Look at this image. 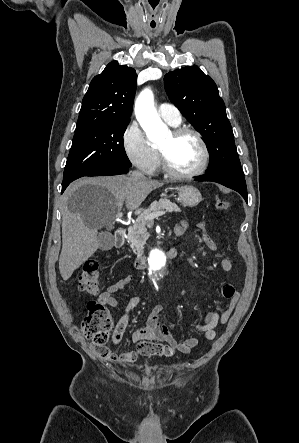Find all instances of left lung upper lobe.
<instances>
[{
  "label": "left lung upper lobe",
  "mask_w": 299,
  "mask_h": 443,
  "mask_svg": "<svg viewBox=\"0 0 299 443\" xmlns=\"http://www.w3.org/2000/svg\"><path fill=\"white\" fill-rule=\"evenodd\" d=\"M169 99L203 136L210 162L206 174L244 175L225 105L215 82L199 67H183L165 75Z\"/></svg>",
  "instance_id": "1"
}]
</instances>
